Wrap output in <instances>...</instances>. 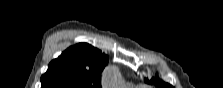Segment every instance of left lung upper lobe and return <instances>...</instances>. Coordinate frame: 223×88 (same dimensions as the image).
<instances>
[{"label":"left lung upper lobe","mask_w":223,"mask_h":88,"mask_svg":"<svg viewBox=\"0 0 223 88\" xmlns=\"http://www.w3.org/2000/svg\"><path fill=\"white\" fill-rule=\"evenodd\" d=\"M145 82L149 84H155L156 86H159L161 88H173L170 84L163 82L160 79L153 78L151 80L145 79Z\"/></svg>","instance_id":"obj_1"}]
</instances>
